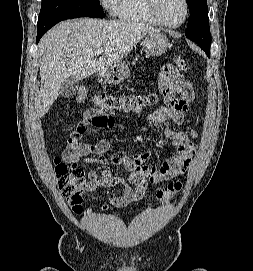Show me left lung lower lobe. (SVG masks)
<instances>
[{
  "label": "left lung lower lobe",
  "mask_w": 253,
  "mask_h": 271,
  "mask_svg": "<svg viewBox=\"0 0 253 271\" xmlns=\"http://www.w3.org/2000/svg\"><path fill=\"white\" fill-rule=\"evenodd\" d=\"M204 51L206 52V54L208 55V57H210V48L204 49Z\"/></svg>",
  "instance_id": "1"
}]
</instances>
